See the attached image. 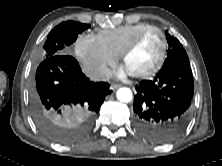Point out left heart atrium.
Returning a JSON list of instances; mask_svg holds the SVG:
<instances>
[{"label": "left heart atrium", "mask_w": 222, "mask_h": 166, "mask_svg": "<svg viewBox=\"0 0 222 166\" xmlns=\"http://www.w3.org/2000/svg\"><path fill=\"white\" fill-rule=\"evenodd\" d=\"M129 72L122 66L121 68H119V70H118V74L120 75V76H125V75H127Z\"/></svg>", "instance_id": "left-heart-atrium-1"}]
</instances>
